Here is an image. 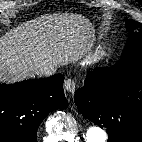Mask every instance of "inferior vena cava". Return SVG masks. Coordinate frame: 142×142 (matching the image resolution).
<instances>
[{"label":"inferior vena cava","instance_id":"602c4592","mask_svg":"<svg viewBox=\"0 0 142 142\" xmlns=\"http://www.w3.org/2000/svg\"><path fill=\"white\" fill-rule=\"evenodd\" d=\"M57 70V67L54 64L47 63L37 66L34 69V73L37 76H51L53 75Z\"/></svg>","mask_w":142,"mask_h":142}]
</instances>
